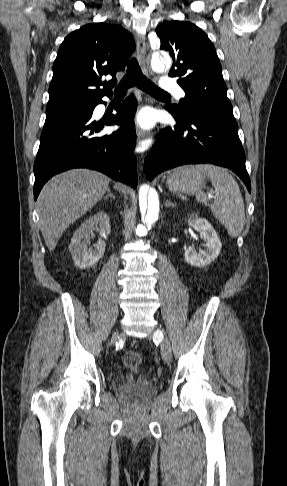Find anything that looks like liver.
<instances>
[{"instance_id": "liver-1", "label": "liver", "mask_w": 287, "mask_h": 486, "mask_svg": "<svg viewBox=\"0 0 287 486\" xmlns=\"http://www.w3.org/2000/svg\"><path fill=\"white\" fill-rule=\"evenodd\" d=\"M110 179L97 171L73 169L54 176L37 200L45 243L54 250L63 232L105 194Z\"/></svg>"}]
</instances>
